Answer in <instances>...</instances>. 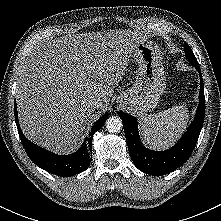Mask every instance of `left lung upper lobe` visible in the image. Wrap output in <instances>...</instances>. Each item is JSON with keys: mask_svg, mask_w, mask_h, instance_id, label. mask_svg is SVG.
<instances>
[{"mask_svg": "<svg viewBox=\"0 0 221 221\" xmlns=\"http://www.w3.org/2000/svg\"><path fill=\"white\" fill-rule=\"evenodd\" d=\"M184 52L188 62L195 67H199L198 61L187 43H184Z\"/></svg>", "mask_w": 221, "mask_h": 221, "instance_id": "5c2ea615", "label": "left lung upper lobe"}]
</instances>
